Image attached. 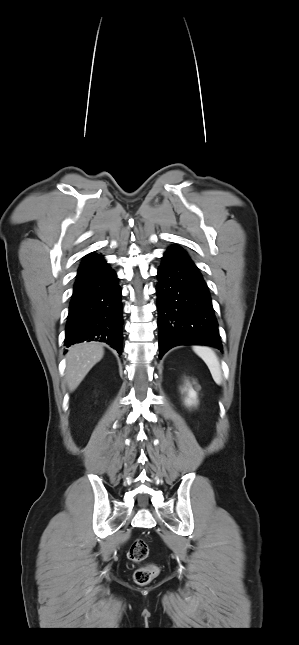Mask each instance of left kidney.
Listing matches in <instances>:
<instances>
[{"instance_id": "left-kidney-1", "label": "left kidney", "mask_w": 299, "mask_h": 645, "mask_svg": "<svg viewBox=\"0 0 299 645\" xmlns=\"http://www.w3.org/2000/svg\"><path fill=\"white\" fill-rule=\"evenodd\" d=\"M188 396H189V398H187L185 400L186 404L187 405L195 404V402H196V392L193 389H189Z\"/></svg>"}]
</instances>
